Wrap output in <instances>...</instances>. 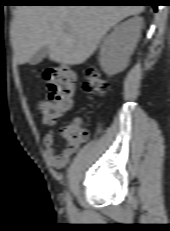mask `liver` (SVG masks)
Returning <instances> with one entry per match:
<instances>
[{
    "instance_id": "obj_1",
    "label": "liver",
    "mask_w": 170,
    "mask_h": 231,
    "mask_svg": "<svg viewBox=\"0 0 170 231\" xmlns=\"http://www.w3.org/2000/svg\"><path fill=\"white\" fill-rule=\"evenodd\" d=\"M143 11L140 5L19 6L14 11L12 25L17 62L28 63L47 45L51 61L64 65L82 64L113 26Z\"/></svg>"
}]
</instances>
